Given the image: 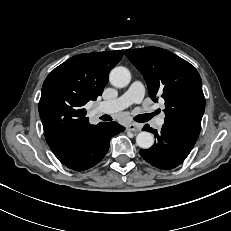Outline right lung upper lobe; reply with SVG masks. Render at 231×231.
Returning <instances> with one entry per match:
<instances>
[{"instance_id": "cb5924a9", "label": "right lung upper lobe", "mask_w": 231, "mask_h": 231, "mask_svg": "<svg viewBox=\"0 0 231 231\" xmlns=\"http://www.w3.org/2000/svg\"><path fill=\"white\" fill-rule=\"evenodd\" d=\"M122 56L123 50L76 55L45 79L39 115L46 141L56 157L74 138L94 126L85 117L83 106L102 94L110 70Z\"/></svg>"}]
</instances>
